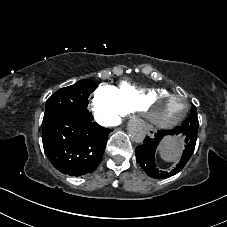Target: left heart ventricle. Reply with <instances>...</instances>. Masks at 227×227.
<instances>
[{"label": "left heart ventricle", "instance_id": "obj_1", "mask_svg": "<svg viewBox=\"0 0 227 227\" xmlns=\"http://www.w3.org/2000/svg\"><path fill=\"white\" fill-rule=\"evenodd\" d=\"M184 101L181 98H164L152 109V114L160 121H169L182 113Z\"/></svg>", "mask_w": 227, "mask_h": 227}]
</instances>
